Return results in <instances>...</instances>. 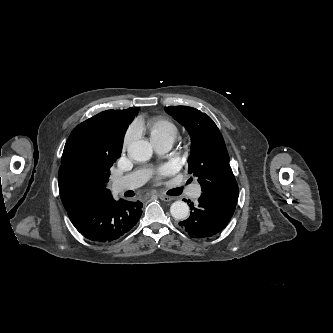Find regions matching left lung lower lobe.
<instances>
[{"instance_id": "1", "label": "left lung lower lobe", "mask_w": 333, "mask_h": 333, "mask_svg": "<svg viewBox=\"0 0 333 333\" xmlns=\"http://www.w3.org/2000/svg\"><path fill=\"white\" fill-rule=\"evenodd\" d=\"M236 204L237 199H218L202 193L196 206L190 204L189 218L179 225L194 238L213 236L229 223Z\"/></svg>"}]
</instances>
